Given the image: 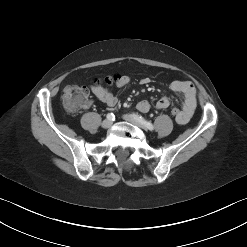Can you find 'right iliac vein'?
Wrapping results in <instances>:
<instances>
[{"instance_id":"63e3f726","label":"right iliac vein","mask_w":247,"mask_h":247,"mask_svg":"<svg viewBox=\"0 0 247 247\" xmlns=\"http://www.w3.org/2000/svg\"><path fill=\"white\" fill-rule=\"evenodd\" d=\"M111 126H112V121L109 120V119H106V120H104V121L102 122V127H103L104 129H108V128H110Z\"/></svg>"}]
</instances>
